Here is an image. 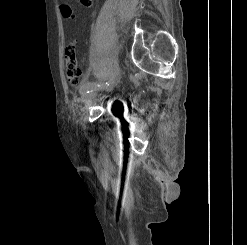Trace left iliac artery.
<instances>
[{
    "label": "left iliac artery",
    "mask_w": 247,
    "mask_h": 245,
    "mask_svg": "<svg viewBox=\"0 0 247 245\" xmlns=\"http://www.w3.org/2000/svg\"><path fill=\"white\" fill-rule=\"evenodd\" d=\"M108 83L106 82L105 84H97V86H104L107 85ZM92 85H94V83H91L89 81H85L82 83L81 87H80V93L84 94L89 92L90 88L92 87ZM96 85V84H95Z\"/></svg>",
    "instance_id": "44dca946"
}]
</instances>
